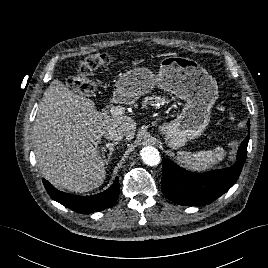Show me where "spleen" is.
Masks as SVG:
<instances>
[{"label":"spleen","mask_w":268,"mask_h":268,"mask_svg":"<svg viewBox=\"0 0 268 268\" xmlns=\"http://www.w3.org/2000/svg\"><path fill=\"white\" fill-rule=\"evenodd\" d=\"M231 119H234L231 116ZM226 156V151L222 147H216L209 151H199L196 153L179 151L178 161L187 169L201 172L213 167Z\"/></svg>","instance_id":"3e777b00"}]
</instances>
